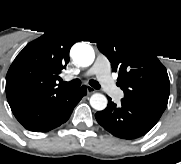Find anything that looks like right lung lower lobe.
<instances>
[{"instance_id": "98d812e1", "label": "right lung lower lobe", "mask_w": 181, "mask_h": 164, "mask_svg": "<svg viewBox=\"0 0 181 164\" xmlns=\"http://www.w3.org/2000/svg\"><path fill=\"white\" fill-rule=\"evenodd\" d=\"M87 94L85 85L69 89L46 103H22L11 106L16 119L28 130L46 132L60 126L70 117L74 107Z\"/></svg>"}]
</instances>
